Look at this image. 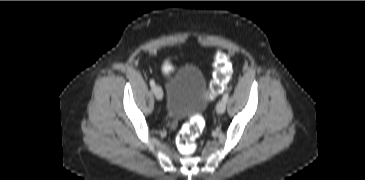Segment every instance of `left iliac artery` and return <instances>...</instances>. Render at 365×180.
I'll use <instances>...</instances> for the list:
<instances>
[{
	"instance_id": "44dca946",
	"label": "left iliac artery",
	"mask_w": 365,
	"mask_h": 180,
	"mask_svg": "<svg viewBox=\"0 0 365 180\" xmlns=\"http://www.w3.org/2000/svg\"><path fill=\"white\" fill-rule=\"evenodd\" d=\"M228 97H229L228 92H225V93H224V95H223V98H222V99H223L225 102H227Z\"/></svg>"
}]
</instances>
